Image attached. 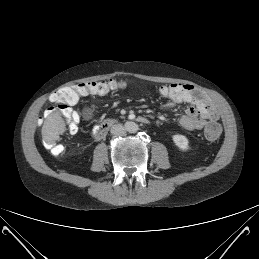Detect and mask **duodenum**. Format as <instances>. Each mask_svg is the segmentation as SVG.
I'll use <instances>...</instances> for the list:
<instances>
[{"instance_id":"duodenum-1","label":"duodenum","mask_w":259,"mask_h":259,"mask_svg":"<svg viewBox=\"0 0 259 259\" xmlns=\"http://www.w3.org/2000/svg\"><path fill=\"white\" fill-rule=\"evenodd\" d=\"M137 122L142 123V124H147L149 123V119L147 117L144 116H138L135 119ZM116 123L115 119H108L106 121H104L98 130V133L96 135L97 139H101L105 136V134L108 132V130Z\"/></svg>"}]
</instances>
